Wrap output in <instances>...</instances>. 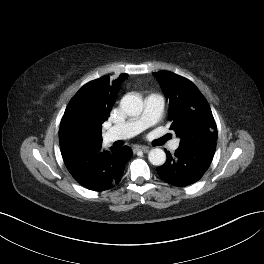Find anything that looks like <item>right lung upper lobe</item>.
I'll return each mask as SVG.
<instances>
[{"mask_svg": "<svg viewBox=\"0 0 264 264\" xmlns=\"http://www.w3.org/2000/svg\"><path fill=\"white\" fill-rule=\"evenodd\" d=\"M103 76L84 85L69 102L59 129L60 147L102 140V123L109 117L122 82Z\"/></svg>", "mask_w": 264, "mask_h": 264, "instance_id": "1", "label": "right lung upper lobe"}]
</instances>
